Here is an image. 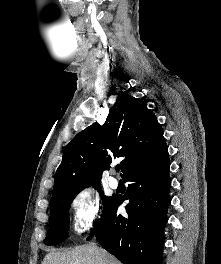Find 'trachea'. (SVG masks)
I'll use <instances>...</instances> for the list:
<instances>
[{"label": "trachea", "instance_id": "3493384b", "mask_svg": "<svg viewBox=\"0 0 221 264\" xmlns=\"http://www.w3.org/2000/svg\"><path fill=\"white\" fill-rule=\"evenodd\" d=\"M115 170H116L117 172H119V170H120V166H116V167H115Z\"/></svg>", "mask_w": 221, "mask_h": 264}]
</instances>
